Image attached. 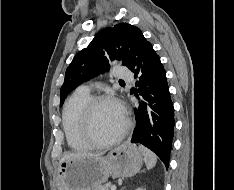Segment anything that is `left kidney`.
Returning a JSON list of instances; mask_svg holds the SVG:
<instances>
[{"label":"left kidney","instance_id":"obj_1","mask_svg":"<svg viewBox=\"0 0 234 190\" xmlns=\"http://www.w3.org/2000/svg\"><path fill=\"white\" fill-rule=\"evenodd\" d=\"M136 190H145V189H142V188H138V189H136Z\"/></svg>","mask_w":234,"mask_h":190}]
</instances>
